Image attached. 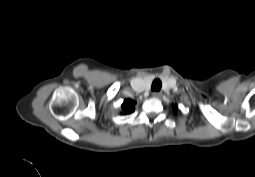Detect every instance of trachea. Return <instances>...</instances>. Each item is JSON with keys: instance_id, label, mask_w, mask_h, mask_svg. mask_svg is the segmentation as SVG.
<instances>
[{"instance_id": "trachea-1", "label": "trachea", "mask_w": 255, "mask_h": 177, "mask_svg": "<svg viewBox=\"0 0 255 177\" xmlns=\"http://www.w3.org/2000/svg\"><path fill=\"white\" fill-rule=\"evenodd\" d=\"M161 87H162V82L159 79H155L152 82L151 90L158 92V91H160Z\"/></svg>"}]
</instances>
